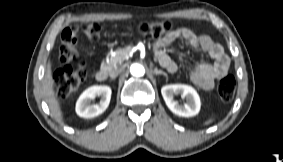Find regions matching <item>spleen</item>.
<instances>
[{
    "label": "spleen",
    "instance_id": "spleen-1",
    "mask_svg": "<svg viewBox=\"0 0 283 162\" xmlns=\"http://www.w3.org/2000/svg\"><path fill=\"white\" fill-rule=\"evenodd\" d=\"M212 121H213V120H208V121H206V122H205V125L210 124Z\"/></svg>",
    "mask_w": 283,
    "mask_h": 162
}]
</instances>
